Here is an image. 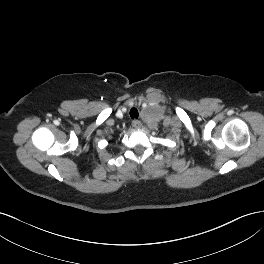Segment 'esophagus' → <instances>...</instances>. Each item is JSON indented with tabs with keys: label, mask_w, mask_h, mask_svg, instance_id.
<instances>
[{
	"label": "esophagus",
	"mask_w": 264,
	"mask_h": 264,
	"mask_svg": "<svg viewBox=\"0 0 264 264\" xmlns=\"http://www.w3.org/2000/svg\"><path fill=\"white\" fill-rule=\"evenodd\" d=\"M132 126L134 128H140L142 126V123L139 120H133Z\"/></svg>",
	"instance_id": "obj_1"
}]
</instances>
